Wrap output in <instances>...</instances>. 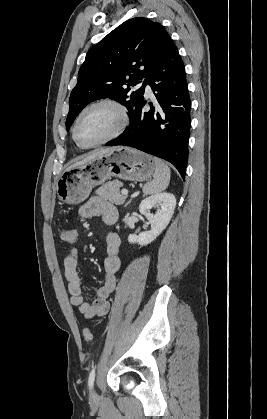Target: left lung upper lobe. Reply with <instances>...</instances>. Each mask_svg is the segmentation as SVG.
I'll use <instances>...</instances> for the list:
<instances>
[{
	"label": "left lung upper lobe",
	"instance_id": "1",
	"mask_svg": "<svg viewBox=\"0 0 267 419\" xmlns=\"http://www.w3.org/2000/svg\"><path fill=\"white\" fill-rule=\"evenodd\" d=\"M170 41L160 23L136 17L122 23L90 49L70 95L67 131L87 104L106 97L123 104L130 116L143 99L145 81L135 91L131 87L146 80Z\"/></svg>",
	"mask_w": 267,
	"mask_h": 419
}]
</instances>
